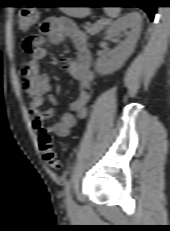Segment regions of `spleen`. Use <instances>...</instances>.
<instances>
[{"mask_svg":"<svg viewBox=\"0 0 170 231\" xmlns=\"http://www.w3.org/2000/svg\"><path fill=\"white\" fill-rule=\"evenodd\" d=\"M104 11L109 17L115 18L119 15L120 8H118V7H106L104 9Z\"/></svg>","mask_w":170,"mask_h":231,"instance_id":"3e777b00","label":"spleen"}]
</instances>
